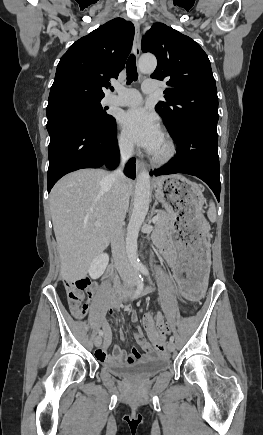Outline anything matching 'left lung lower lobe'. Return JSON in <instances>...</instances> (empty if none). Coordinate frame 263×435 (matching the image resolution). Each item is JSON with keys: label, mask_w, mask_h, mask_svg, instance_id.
<instances>
[{"label": "left lung lower lobe", "mask_w": 263, "mask_h": 435, "mask_svg": "<svg viewBox=\"0 0 263 435\" xmlns=\"http://www.w3.org/2000/svg\"><path fill=\"white\" fill-rule=\"evenodd\" d=\"M217 123L190 122L172 133L177 156L163 168L150 172L151 176L184 173L203 180L220 198V169L218 157Z\"/></svg>", "instance_id": "left-lung-lower-lobe-1"}]
</instances>
